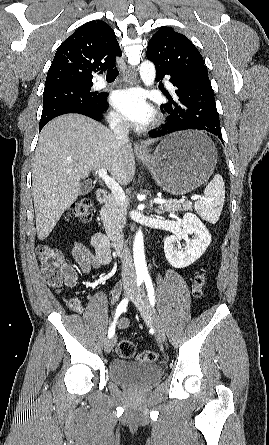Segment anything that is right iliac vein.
<instances>
[{"label": "right iliac vein", "mask_w": 269, "mask_h": 445, "mask_svg": "<svg viewBox=\"0 0 269 445\" xmlns=\"http://www.w3.org/2000/svg\"><path fill=\"white\" fill-rule=\"evenodd\" d=\"M131 293H132V288L125 289V296H130ZM116 340H117L116 336H113L106 342V345H105L106 352H110L113 349V347L116 344Z\"/></svg>", "instance_id": "obj_1"}]
</instances>
